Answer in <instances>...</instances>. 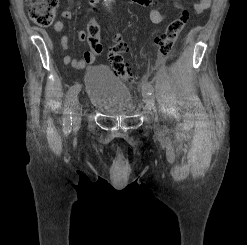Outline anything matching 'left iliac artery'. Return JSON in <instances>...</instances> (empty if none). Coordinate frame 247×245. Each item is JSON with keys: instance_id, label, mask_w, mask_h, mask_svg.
Masks as SVG:
<instances>
[{"instance_id": "left-iliac-artery-1", "label": "left iliac artery", "mask_w": 247, "mask_h": 245, "mask_svg": "<svg viewBox=\"0 0 247 245\" xmlns=\"http://www.w3.org/2000/svg\"><path fill=\"white\" fill-rule=\"evenodd\" d=\"M142 89L149 95H152L154 93V88L151 83L144 81L142 83Z\"/></svg>"}]
</instances>
